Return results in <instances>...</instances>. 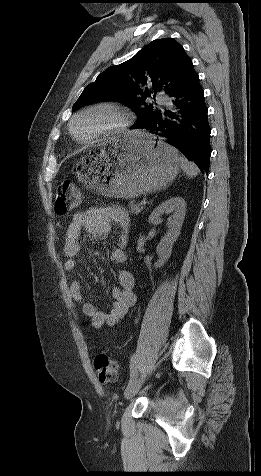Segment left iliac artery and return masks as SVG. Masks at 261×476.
Returning a JSON list of instances; mask_svg holds the SVG:
<instances>
[{
  "instance_id": "1",
  "label": "left iliac artery",
  "mask_w": 261,
  "mask_h": 476,
  "mask_svg": "<svg viewBox=\"0 0 261 476\" xmlns=\"http://www.w3.org/2000/svg\"><path fill=\"white\" fill-rule=\"evenodd\" d=\"M137 354H133L130 361V379L128 385H130L137 377Z\"/></svg>"
}]
</instances>
